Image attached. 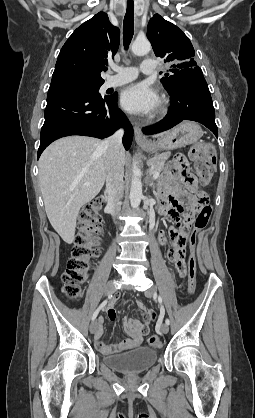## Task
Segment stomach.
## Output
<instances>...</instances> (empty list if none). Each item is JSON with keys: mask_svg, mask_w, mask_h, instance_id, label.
I'll return each instance as SVG.
<instances>
[{"mask_svg": "<svg viewBox=\"0 0 255 418\" xmlns=\"http://www.w3.org/2000/svg\"><path fill=\"white\" fill-rule=\"evenodd\" d=\"M201 137L198 125L192 122H184L174 129L162 134L157 141H149L142 144L145 151L154 153L157 150H172L197 142Z\"/></svg>", "mask_w": 255, "mask_h": 418, "instance_id": "obj_1", "label": "stomach"}]
</instances>
